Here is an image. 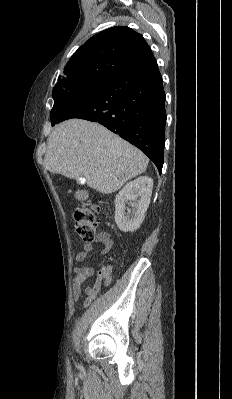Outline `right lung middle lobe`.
Segmentation results:
<instances>
[{
    "label": "right lung middle lobe",
    "instance_id": "1",
    "mask_svg": "<svg viewBox=\"0 0 232 399\" xmlns=\"http://www.w3.org/2000/svg\"><path fill=\"white\" fill-rule=\"evenodd\" d=\"M106 81L107 78H80L68 84L62 92L53 95L54 106L51 110L52 126L55 124L59 113L68 103L76 102L85 98L105 84Z\"/></svg>",
    "mask_w": 232,
    "mask_h": 399
}]
</instances>
